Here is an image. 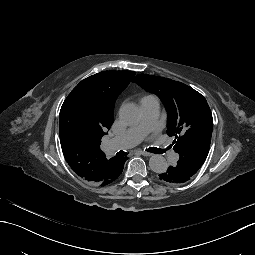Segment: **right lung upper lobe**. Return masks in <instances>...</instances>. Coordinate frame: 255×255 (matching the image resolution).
<instances>
[{
  "mask_svg": "<svg viewBox=\"0 0 255 255\" xmlns=\"http://www.w3.org/2000/svg\"><path fill=\"white\" fill-rule=\"evenodd\" d=\"M135 72L103 71L82 80L64 101L59 121H77L96 133L94 140L61 144L64 157L81 178L99 186L114 182L122 173L126 157L107 159L100 150L101 138L113 124L117 97L130 83Z\"/></svg>",
  "mask_w": 255,
  "mask_h": 255,
  "instance_id": "obj_1",
  "label": "right lung upper lobe"
}]
</instances>
